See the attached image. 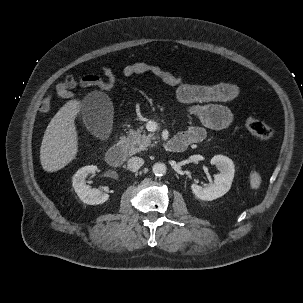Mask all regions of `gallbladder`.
Wrapping results in <instances>:
<instances>
[{
    "mask_svg": "<svg viewBox=\"0 0 303 303\" xmlns=\"http://www.w3.org/2000/svg\"><path fill=\"white\" fill-rule=\"evenodd\" d=\"M81 114L86 128L95 136L103 137L111 125L112 103L105 93L92 92L84 98Z\"/></svg>",
    "mask_w": 303,
    "mask_h": 303,
    "instance_id": "gallbladder-1",
    "label": "gallbladder"
}]
</instances>
